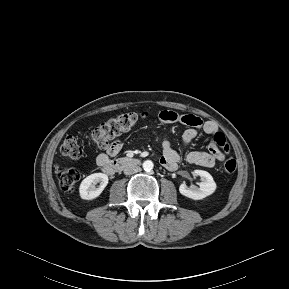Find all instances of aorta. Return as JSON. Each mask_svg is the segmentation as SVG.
Returning a JSON list of instances; mask_svg holds the SVG:
<instances>
[{
  "instance_id": "1",
  "label": "aorta",
  "mask_w": 289,
  "mask_h": 289,
  "mask_svg": "<svg viewBox=\"0 0 289 289\" xmlns=\"http://www.w3.org/2000/svg\"><path fill=\"white\" fill-rule=\"evenodd\" d=\"M143 169L147 172L151 171L154 167V164L151 160H146L143 162V165H142Z\"/></svg>"
}]
</instances>
